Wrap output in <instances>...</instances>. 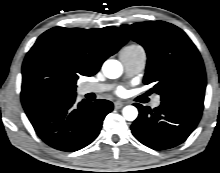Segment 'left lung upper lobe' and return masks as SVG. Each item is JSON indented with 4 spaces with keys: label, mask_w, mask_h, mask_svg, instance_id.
<instances>
[{
    "label": "left lung upper lobe",
    "mask_w": 220,
    "mask_h": 173,
    "mask_svg": "<svg viewBox=\"0 0 220 173\" xmlns=\"http://www.w3.org/2000/svg\"><path fill=\"white\" fill-rule=\"evenodd\" d=\"M121 30L145 48L148 60L143 82L154 84L162 102L203 110L205 69L184 31L164 21L122 25Z\"/></svg>",
    "instance_id": "left-lung-upper-lobe-1"
}]
</instances>
